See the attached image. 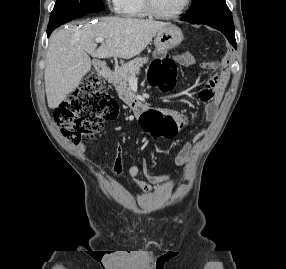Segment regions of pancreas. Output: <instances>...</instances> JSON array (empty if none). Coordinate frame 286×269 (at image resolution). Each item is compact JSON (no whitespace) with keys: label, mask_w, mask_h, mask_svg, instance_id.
Segmentation results:
<instances>
[{"label":"pancreas","mask_w":286,"mask_h":269,"mask_svg":"<svg viewBox=\"0 0 286 269\" xmlns=\"http://www.w3.org/2000/svg\"><path fill=\"white\" fill-rule=\"evenodd\" d=\"M147 62V58L139 57L120 67H115L111 81L116 88L119 98L125 103H130L135 98L129 87V81L139 74L140 68Z\"/></svg>","instance_id":"pancreas-1"}]
</instances>
